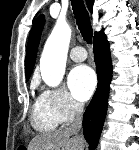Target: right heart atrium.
<instances>
[{
    "mask_svg": "<svg viewBox=\"0 0 139 150\" xmlns=\"http://www.w3.org/2000/svg\"><path fill=\"white\" fill-rule=\"evenodd\" d=\"M43 94L50 102L61 123L72 121L83 109L82 105L64 89L46 90Z\"/></svg>",
    "mask_w": 139,
    "mask_h": 150,
    "instance_id": "obj_1",
    "label": "right heart atrium"
}]
</instances>
